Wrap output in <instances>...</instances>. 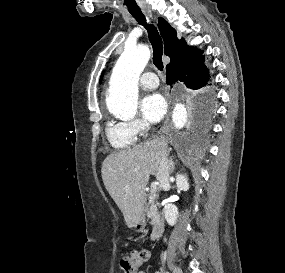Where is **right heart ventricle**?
<instances>
[{
    "label": "right heart ventricle",
    "mask_w": 285,
    "mask_h": 273,
    "mask_svg": "<svg viewBox=\"0 0 285 273\" xmlns=\"http://www.w3.org/2000/svg\"><path fill=\"white\" fill-rule=\"evenodd\" d=\"M105 134L110 145L117 150L128 149L136 141V137L129 132L123 122H108Z\"/></svg>",
    "instance_id": "1"
}]
</instances>
